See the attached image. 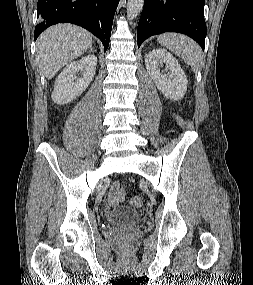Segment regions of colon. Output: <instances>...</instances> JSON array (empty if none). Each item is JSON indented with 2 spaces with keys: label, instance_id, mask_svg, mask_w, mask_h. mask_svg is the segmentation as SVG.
Masks as SVG:
<instances>
[{
  "label": "colon",
  "instance_id": "5ec220e1",
  "mask_svg": "<svg viewBox=\"0 0 253 285\" xmlns=\"http://www.w3.org/2000/svg\"><path fill=\"white\" fill-rule=\"evenodd\" d=\"M129 203L133 207H141L143 204V199L140 196H134L129 199Z\"/></svg>",
  "mask_w": 253,
  "mask_h": 285
}]
</instances>
